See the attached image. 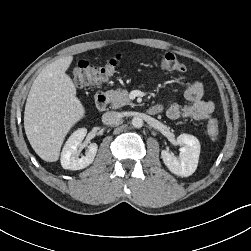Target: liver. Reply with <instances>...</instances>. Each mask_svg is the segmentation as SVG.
I'll return each mask as SVG.
<instances>
[{"instance_id":"obj_1","label":"liver","mask_w":251,"mask_h":251,"mask_svg":"<svg viewBox=\"0 0 251 251\" xmlns=\"http://www.w3.org/2000/svg\"><path fill=\"white\" fill-rule=\"evenodd\" d=\"M72 56L46 66L34 80L24 111V128L30 145L47 162H55L69 130L85 115L76 86L66 74Z\"/></svg>"}]
</instances>
